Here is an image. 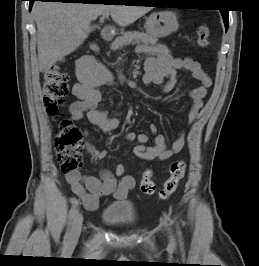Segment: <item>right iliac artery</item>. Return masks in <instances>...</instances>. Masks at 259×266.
Wrapping results in <instances>:
<instances>
[{"mask_svg": "<svg viewBox=\"0 0 259 266\" xmlns=\"http://www.w3.org/2000/svg\"><path fill=\"white\" fill-rule=\"evenodd\" d=\"M77 211H78V201H75V202L73 203L72 208H71L70 211H69V216H68V229H67V233H66V235H65V241H66V242H68L69 239H70V234H71V233H70V227H71V225H72L73 219H74V217H75Z\"/></svg>", "mask_w": 259, "mask_h": 266, "instance_id": "1", "label": "right iliac artery"}]
</instances>
